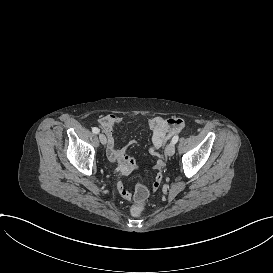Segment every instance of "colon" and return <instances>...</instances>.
I'll list each match as a JSON object with an SVG mask.
<instances>
[{
	"label": "colon",
	"mask_w": 273,
	"mask_h": 273,
	"mask_svg": "<svg viewBox=\"0 0 273 273\" xmlns=\"http://www.w3.org/2000/svg\"><path fill=\"white\" fill-rule=\"evenodd\" d=\"M148 193H149V189L146 187L145 184L140 183L137 185L134 200H133V203L135 206L131 210V213L133 216L138 217L141 215L142 210L140 206H142L143 203L146 201Z\"/></svg>",
	"instance_id": "colon-1"
}]
</instances>
